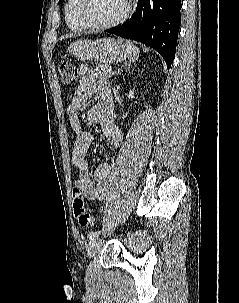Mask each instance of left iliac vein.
<instances>
[{"instance_id": "4c4485c4", "label": "left iliac vein", "mask_w": 239, "mask_h": 303, "mask_svg": "<svg viewBox=\"0 0 239 303\" xmlns=\"http://www.w3.org/2000/svg\"><path fill=\"white\" fill-rule=\"evenodd\" d=\"M100 248V241L98 238H95L94 240H92L88 246V257L92 258L99 250Z\"/></svg>"}]
</instances>
